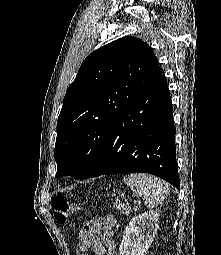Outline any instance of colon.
<instances>
[{
    "label": "colon",
    "instance_id": "1",
    "mask_svg": "<svg viewBox=\"0 0 221 255\" xmlns=\"http://www.w3.org/2000/svg\"><path fill=\"white\" fill-rule=\"evenodd\" d=\"M83 206V201H76L74 203H70L62 196H56L52 200L54 217L59 223H65L70 214L80 211Z\"/></svg>",
    "mask_w": 221,
    "mask_h": 255
}]
</instances>
